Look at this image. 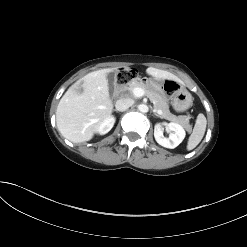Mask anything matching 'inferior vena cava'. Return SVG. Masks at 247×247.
Instances as JSON below:
<instances>
[{"mask_svg":"<svg viewBox=\"0 0 247 247\" xmlns=\"http://www.w3.org/2000/svg\"><path fill=\"white\" fill-rule=\"evenodd\" d=\"M134 103L133 99L131 98H120L119 100L116 101L115 107L117 111H125L127 110L130 106H132Z\"/></svg>","mask_w":247,"mask_h":247,"instance_id":"1","label":"inferior vena cava"}]
</instances>
